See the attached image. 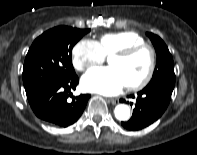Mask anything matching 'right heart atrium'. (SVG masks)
<instances>
[{
    "instance_id": "right-heart-atrium-1",
    "label": "right heart atrium",
    "mask_w": 197,
    "mask_h": 155,
    "mask_svg": "<svg viewBox=\"0 0 197 155\" xmlns=\"http://www.w3.org/2000/svg\"><path fill=\"white\" fill-rule=\"evenodd\" d=\"M104 60L105 54L97 41L82 39L72 49V64L78 71H86Z\"/></svg>"
}]
</instances>
